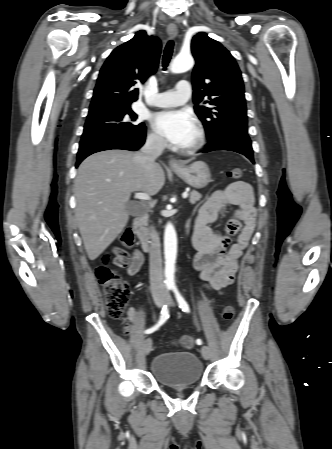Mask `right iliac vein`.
I'll use <instances>...</instances> for the list:
<instances>
[{
    "label": "right iliac vein",
    "mask_w": 332,
    "mask_h": 449,
    "mask_svg": "<svg viewBox=\"0 0 332 449\" xmlns=\"http://www.w3.org/2000/svg\"><path fill=\"white\" fill-rule=\"evenodd\" d=\"M155 303L158 307H162L164 304V300L162 296H157L155 298ZM144 353L147 355L150 353V351L152 350V339L151 338H147L144 342Z\"/></svg>",
    "instance_id": "1"
}]
</instances>
